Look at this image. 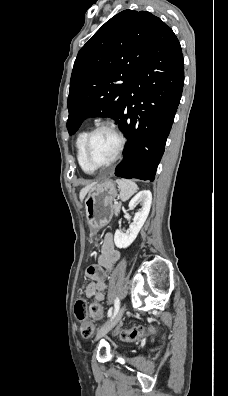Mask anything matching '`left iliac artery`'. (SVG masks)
Segmentation results:
<instances>
[{
    "instance_id": "44dca946",
    "label": "left iliac artery",
    "mask_w": 228,
    "mask_h": 396,
    "mask_svg": "<svg viewBox=\"0 0 228 396\" xmlns=\"http://www.w3.org/2000/svg\"><path fill=\"white\" fill-rule=\"evenodd\" d=\"M119 308H120V300H119V298L117 297V298L115 299V309H114V314H113L111 320H112V319L114 318V316L117 314V312L119 311Z\"/></svg>"
}]
</instances>
